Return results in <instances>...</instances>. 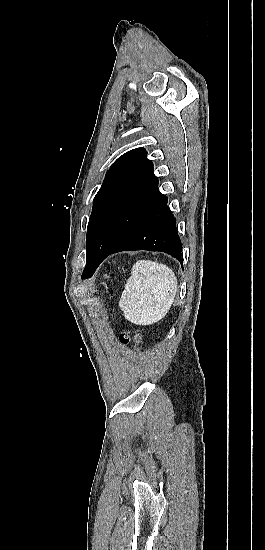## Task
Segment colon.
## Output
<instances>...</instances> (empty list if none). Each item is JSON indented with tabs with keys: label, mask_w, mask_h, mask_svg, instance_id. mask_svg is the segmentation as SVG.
Instances as JSON below:
<instances>
[{
	"label": "colon",
	"mask_w": 265,
	"mask_h": 550,
	"mask_svg": "<svg viewBox=\"0 0 265 550\" xmlns=\"http://www.w3.org/2000/svg\"><path fill=\"white\" fill-rule=\"evenodd\" d=\"M119 341L120 343L127 347L131 346L133 344L139 343L141 341V335L140 334H130L127 331H120L119 332Z\"/></svg>",
	"instance_id": "5ec220e1"
}]
</instances>
